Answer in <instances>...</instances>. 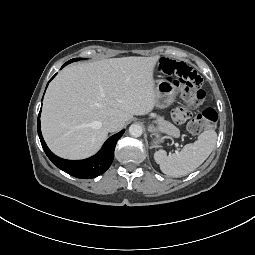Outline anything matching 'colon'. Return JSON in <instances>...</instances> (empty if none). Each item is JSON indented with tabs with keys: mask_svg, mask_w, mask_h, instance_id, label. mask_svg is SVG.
I'll return each instance as SVG.
<instances>
[{
	"mask_svg": "<svg viewBox=\"0 0 255 255\" xmlns=\"http://www.w3.org/2000/svg\"><path fill=\"white\" fill-rule=\"evenodd\" d=\"M159 69L164 74L177 78V83L184 89L183 98L190 106H197L204 101L203 80L189 65L181 61L163 58L159 62ZM217 119V112L213 108H206L189 122V131L198 134L213 127Z\"/></svg>",
	"mask_w": 255,
	"mask_h": 255,
	"instance_id": "1",
	"label": "colon"
}]
</instances>
